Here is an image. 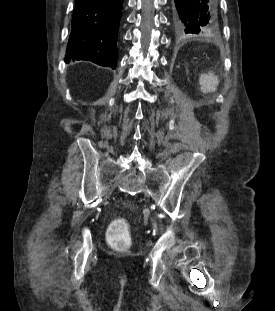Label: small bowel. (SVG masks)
<instances>
[{"instance_id": "small-bowel-1", "label": "small bowel", "mask_w": 275, "mask_h": 311, "mask_svg": "<svg viewBox=\"0 0 275 311\" xmlns=\"http://www.w3.org/2000/svg\"><path fill=\"white\" fill-rule=\"evenodd\" d=\"M217 71L213 70L212 73H202V80H197L196 85L199 88L202 98H215L218 88L216 86Z\"/></svg>"}]
</instances>
